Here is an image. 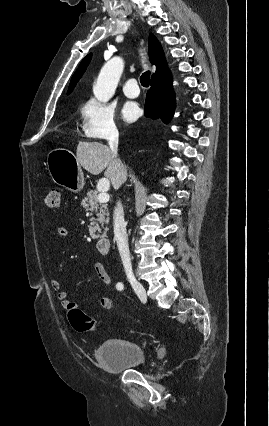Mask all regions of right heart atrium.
I'll list each match as a JSON object with an SVG mask.
<instances>
[{
    "label": "right heart atrium",
    "mask_w": 269,
    "mask_h": 426,
    "mask_svg": "<svg viewBox=\"0 0 269 426\" xmlns=\"http://www.w3.org/2000/svg\"><path fill=\"white\" fill-rule=\"evenodd\" d=\"M80 130L90 139H108L119 134L114 108L95 98L87 99L81 106Z\"/></svg>",
    "instance_id": "right-heart-atrium-1"
}]
</instances>
